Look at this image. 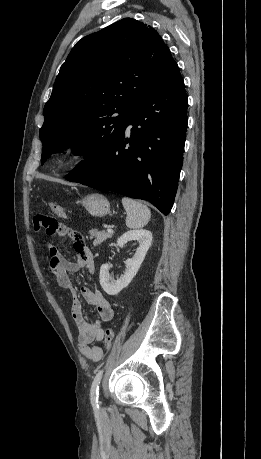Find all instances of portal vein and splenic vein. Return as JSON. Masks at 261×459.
<instances>
[{"label":"portal vein and splenic vein","instance_id":"obj_1","mask_svg":"<svg viewBox=\"0 0 261 459\" xmlns=\"http://www.w3.org/2000/svg\"><path fill=\"white\" fill-rule=\"evenodd\" d=\"M107 232H108V233H113V229H112L111 227H108V228H107Z\"/></svg>","mask_w":261,"mask_h":459}]
</instances>
